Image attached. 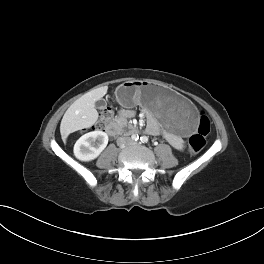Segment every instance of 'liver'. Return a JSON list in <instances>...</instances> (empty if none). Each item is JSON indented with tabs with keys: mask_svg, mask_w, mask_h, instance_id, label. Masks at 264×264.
Listing matches in <instances>:
<instances>
[{
	"mask_svg": "<svg viewBox=\"0 0 264 264\" xmlns=\"http://www.w3.org/2000/svg\"><path fill=\"white\" fill-rule=\"evenodd\" d=\"M107 86L91 90L77 99L65 112L60 132L65 142L68 135L77 130L89 128L98 119V112L95 109V102L100 100L107 93Z\"/></svg>",
	"mask_w": 264,
	"mask_h": 264,
	"instance_id": "obj_1",
	"label": "liver"
}]
</instances>
